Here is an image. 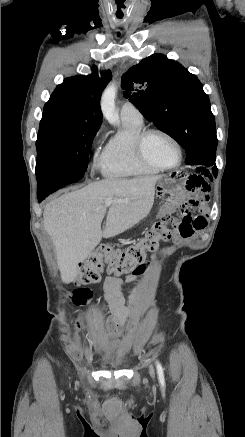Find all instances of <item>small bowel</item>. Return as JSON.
<instances>
[{
  "label": "small bowel",
  "instance_id": "obj_1",
  "mask_svg": "<svg viewBox=\"0 0 245 437\" xmlns=\"http://www.w3.org/2000/svg\"><path fill=\"white\" fill-rule=\"evenodd\" d=\"M187 182L185 186L181 188L185 192L192 195V198L188 203H183L181 206L183 217L180 219L178 215H173L171 221L169 216L165 214L163 216L164 226L167 229L171 227L174 228L175 235L177 237L188 238L192 236L195 232L203 230L207 226V218L202 214L192 215L188 214L192 207H198L206 199L208 192L211 191L212 186L207 180H213L215 174L208 168L203 166H197L193 171L189 172ZM176 204H171V208L174 209ZM146 267L139 273L131 274L127 276L124 280L117 279L113 277H108L106 279V287L108 289H117L122 285L123 282L131 283L135 281L139 275L143 274ZM78 324H81V319H79ZM125 318L120 310H115L112 317L108 319L107 322V337L106 341H112L114 345L119 341L120 337L124 332Z\"/></svg>",
  "mask_w": 245,
  "mask_h": 437
}]
</instances>
